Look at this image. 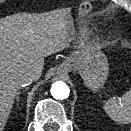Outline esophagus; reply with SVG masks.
Masks as SVG:
<instances>
[{
    "instance_id": "esophagus-1",
    "label": "esophagus",
    "mask_w": 131,
    "mask_h": 131,
    "mask_svg": "<svg viewBox=\"0 0 131 131\" xmlns=\"http://www.w3.org/2000/svg\"><path fill=\"white\" fill-rule=\"evenodd\" d=\"M69 68H70V66L68 64H62L58 68V74H60V75H66L69 72Z\"/></svg>"
}]
</instances>
